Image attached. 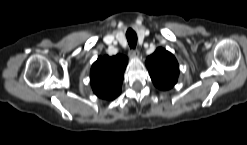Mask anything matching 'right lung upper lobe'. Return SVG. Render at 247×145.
Here are the masks:
<instances>
[{"instance_id":"1","label":"right lung upper lobe","mask_w":247,"mask_h":145,"mask_svg":"<svg viewBox=\"0 0 247 145\" xmlns=\"http://www.w3.org/2000/svg\"><path fill=\"white\" fill-rule=\"evenodd\" d=\"M128 58L123 55L99 57L90 71V82L94 93L103 99L112 100L121 92L123 75Z\"/></svg>"}]
</instances>
